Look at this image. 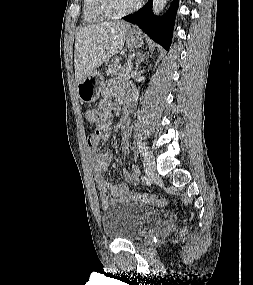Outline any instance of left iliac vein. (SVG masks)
<instances>
[{"label":"left iliac vein","mask_w":253,"mask_h":285,"mask_svg":"<svg viewBox=\"0 0 253 285\" xmlns=\"http://www.w3.org/2000/svg\"><path fill=\"white\" fill-rule=\"evenodd\" d=\"M144 167L147 176L152 175L155 171V158L150 151L144 156Z\"/></svg>","instance_id":"1"}]
</instances>
